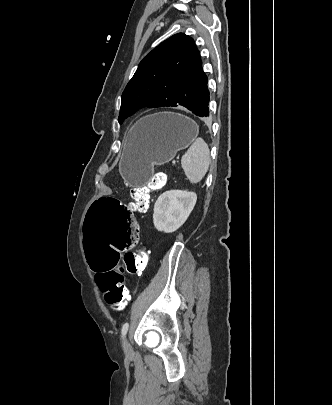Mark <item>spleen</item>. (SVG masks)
Wrapping results in <instances>:
<instances>
[{
  "mask_svg": "<svg viewBox=\"0 0 332 405\" xmlns=\"http://www.w3.org/2000/svg\"><path fill=\"white\" fill-rule=\"evenodd\" d=\"M209 164L210 150L208 144L199 137L182 156V168L189 181L192 184H197L208 172Z\"/></svg>",
  "mask_w": 332,
  "mask_h": 405,
  "instance_id": "1",
  "label": "spleen"
}]
</instances>
